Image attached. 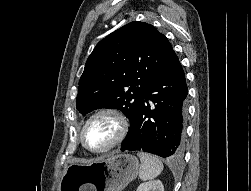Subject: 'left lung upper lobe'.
I'll use <instances>...</instances> for the list:
<instances>
[{"instance_id": "5c2ea615", "label": "left lung upper lobe", "mask_w": 251, "mask_h": 191, "mask_svg": "<svg viewBox=\"0 0 251 191\" xmlns=\"http://www.w3.org/2000/svg\"><path fill=\"white\" fill-rule=\"evenodd\" d=\"M172 46L152 25L131 22L100 41L79 81L77 110L123 111L133 123L147 89L168 59Z\"/></svg>"}]
</instances>
